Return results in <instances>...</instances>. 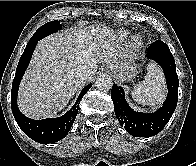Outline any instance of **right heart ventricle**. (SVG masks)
<instances>
[{
	"label": "right heart ventricle",
	"mask_w": 196,
	"mask_h": 166,
	"mask_svg": "<svg viewBox=\"0 0 196 166\" xmlns=\"http://www.w3.org/2000/svg\"><path fill=\"white\" fill-rule=\"evenodd\" d=\"M128 35H129L128 32H121L120 33L121 38H127Z\"/></svg>",
	"instance_id": "e07e8e85"
}]
</instances>
